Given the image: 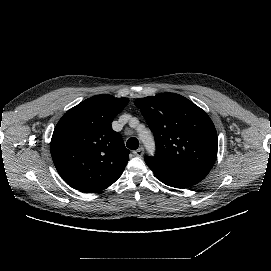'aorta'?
<instances>
[{"label": "aorta", "mask_w": 271, "mask_h": 271, "mask_svg": "<svg viewBox=\"0 0 271 271\" xmlns=\"http://www.w3.org/2000/svg\"><path fill=\"white\" fill-rule=\"evenodd\" d=\"M146 145H147V147H148L149 149H151V147H152V142H151V141L146 142Z\"/></svg>", "instance_id": "obj_1"}]
</instances>
